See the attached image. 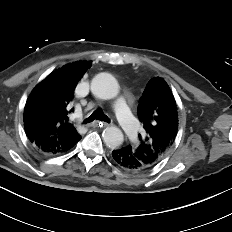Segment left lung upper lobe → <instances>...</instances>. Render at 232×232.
<instances>
[{
  "mask_svg": "<svg viewBox=\"0 0 232 232\" xmlns=\"http://www.w3.org/2000/svg\"><path fill=\"white\" fill-rule=\"evenodd\" d=\"M138 116L145 132L139 135L138 146H130L149 169L165 157L178 132L176 101L162 78L155 77L148 82L139 101Z\"/></svg>",
  "mask_w": 232,
  "mask_h": 232,
  "instance_id": "obj_1",
  "label": "left lung upper lobe"
}]
</instances>
